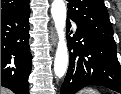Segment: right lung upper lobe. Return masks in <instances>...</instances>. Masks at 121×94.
<instances>
[{"mask_svg":"<svg viewBox=\"0 0 121 94\" xmlns=\"http://www.w3.org/2000/svg\"><path fill=\"white\" fill-rule=\"evenodd\" d=\"M29 4V0H1V16L19 11Z\"/></svg>","mask_w":121,"mask_h":94,"instance_id":"1","label":"right lung upper lobe"}]
</instances>
